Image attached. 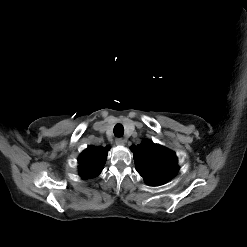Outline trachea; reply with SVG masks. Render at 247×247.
<instances>
[{"instance_id": "1", "label": "trachea", "mask_w": 247, "mask_h": 247, "mask_svg": "<svg viewBox=\"0 0 247 247\" xmlns=\"http://www.w3.org/2000/svg\"><path fill=\"white\" fill-rule=\"evenodd\" d=\"M114 134L117 137H121L124 134V127L121 124H117L114 127Z\"/></svg>"}]
</instances>
